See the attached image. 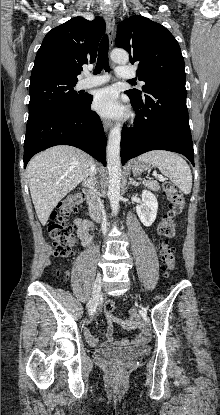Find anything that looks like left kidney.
Instances as JSON below:
<instances>
[{
  "instance_id": "5707ae66",
  "label": "left kidney",
  "mask_w": 220,
  "mask_h": 415,
  "mask_svg": "<svg viewBox=\"0 0 220 415\" xmlns=\"http://www.w3.org/2000/svg\"><path fill=\"white\" fill-rule=\"evenodd\" d=\"M158 202L155 195L147 190L142 192V203L136 206V212L144 226L149 227L156 219Z\"/></svg>"
}]
</instances>
